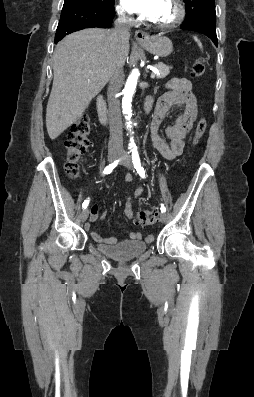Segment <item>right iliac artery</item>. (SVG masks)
I'll return each mask as SVG.
<instances>
[{
  "label": "right iliac artery",
  "mask_w": 254,
  "mask_h": 397,
  "mask_svg": "<svg viewBox=\"0 0 254 397\" xmlns=\"http://www.w3.org/2000/svg\"><path fill=\"white\" fill-rule=\"evenodd\" d=\"M118 163H119V160H117V161H115L114 163L108 165V166L104 169L103 174H110V173L112 172V170L117 166ZM88 204H89V199H86V200L83 202V204H82V208H83V209L87 208Z\"/></svg>",
  "instance_id": "right-iliac-artery-1"
}]
</instances>
